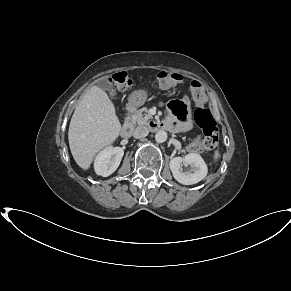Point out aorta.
I'll return each mask as SVG.
<instances>
[{
  "label": "aorta",
  "instance_id": "obj_1",
  "mask_svg": "<svg viewBox=\"0 0 291 291\" xmlns=\"http://www.w3.org/2000/svg\"><path fill=\"white\" fill-rule=\"evenodd\" d=\"M155 140L157 143H163L167 140V133L165 131H158L155 135Z\"/></svg>",
  "mask_w": 291,
  "mask_h": 291
}]
</instances>
